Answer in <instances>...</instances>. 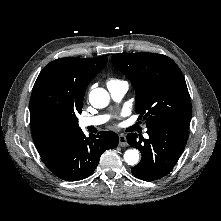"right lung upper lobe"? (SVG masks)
Returning a JSON list of instances; mask_svg holds the SVG:
<instances>
[{"instance_id":"cb5924a9","label":"right lung upper lobe","mask_w":221,"mask_h":221,"mask_svg":"<svg viewBox=\"0 0 221 221\" xmlns=\"http://www.w3.org/2000/svg\"><path fill=\"white\" fill-rule=\"evenodd\" d=\"M64 60L74 80L86 90L90 81L107 64V55L96 58H61ZM30 123L36 148H41L66 139L80 131L79 126L62 124L52 119L30 113Z\"/></svg>"}]
</instances>
